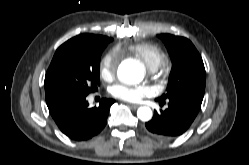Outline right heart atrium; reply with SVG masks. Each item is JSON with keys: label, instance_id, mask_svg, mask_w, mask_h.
<instances>
[{"label": "right heart atrium", "instance_id": "d8ad5b80", "mask_svg": "<svg viewBox=\"0 0 249 165\" xmlns=\"http://www.w3.org/2000/svg\"><path fill=\"white\" fill-rule=\"evenodd\" d=\"M119 58V53L117 50H110L101 60L100 63V74L103 78L111 76L116 68Z\"/></svg>", "mask_w": 249, "mask_h": 165}]
</instances>
